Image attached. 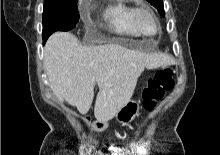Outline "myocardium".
Instances as JSON below:
<instances>
[{"label":"myocardium","instance_id":"1","mask_svg":"<svg viewBox=\"0 0 220 155\" xmlns=\"http://www.w3.org/2000/svg\"><path fill=\"white\" fill-rule=\"evenodd\" d=\"M144 14L150 15L153 18V20L155 21V23H156V32L153 35H151V36L158 35L160 33V31H161L160 21H159L158 17L156 16V14L150 8H147V7L135 8L134 11H133L132 23H133V26L136 29L137 33L139 35L144 36V37L150 36V35L145 34L142 31L141 27H140L139 21H140L141 16L144 15Z\"/></svg>","mask_w":220,"mask_h":155}]
</instances>
